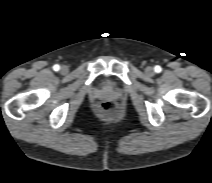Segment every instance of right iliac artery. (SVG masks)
<instances>
[{
  "instance_id": "right-iliac-artery-1",
  "label": "right iliac artery",
  "mask_w": 212,
  "mask_h": 183,
  "mask_svg": "<svg viewBox=\"0 0 212 183\" xmlns=\"http://www.w3.org/2000/svg\"><path fill=\"white\" fill-rule=\"evenodd\" d=\"M53 69H54V71H58L60 69V66L56 64L53 66Z\"/></svg>"
}]
</instances>
